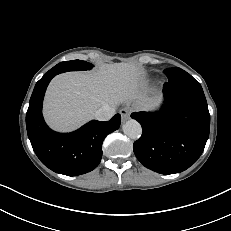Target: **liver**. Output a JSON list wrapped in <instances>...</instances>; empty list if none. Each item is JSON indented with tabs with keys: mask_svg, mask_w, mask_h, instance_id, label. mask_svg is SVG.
Returning a JSON list of instances; mask_svg holds the SVG:
<instances>
[{
	"mask_svg": "<svg viewBox=\"0 0 231 231\" xmlns=\"http://www.w3.org/2000/svg\"><path fill=\"white\" fill-rule=\"evenodd\" d=\"M142 70L134 64L104 65L93 74L67 72L49 84L44 100V117L57 131H72L91 120L103 105L117 106L135 98L142 109L153 107L158 99L147 101L138 93Z\"/></svg>",
	"mask_w": 231,
	"mask_h": 231,
	"instance_id": "1",
	"label": "liver"
}]
</instances>
